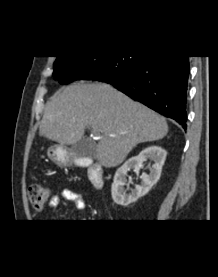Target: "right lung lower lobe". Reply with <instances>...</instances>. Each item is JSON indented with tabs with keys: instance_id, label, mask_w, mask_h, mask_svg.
Segmentation results:
<instances>
[{
	"instance_id": "1",
	"label": "right lung lower lobe",
	"mask_w": 218,
	"mask_h": 277,
	"mask_svg": "<svg viewBox=\"0 0 218 277\" xmlns=\"http://www.w3.org/2000/svg\"><path fill=\"white\" fill-rule=\"evenodd\" d=\"M188 56L148 55L124 80H104L96 75L86 79L101 80L115 86L129 97L186 128V98L189 76Z\"/></svg>"
}]
</instances>
